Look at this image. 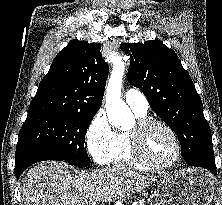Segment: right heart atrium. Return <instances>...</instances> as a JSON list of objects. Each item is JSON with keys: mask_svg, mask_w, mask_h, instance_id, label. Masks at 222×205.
<instances>
[{"mask_svg": "<svg viewBox=\"0 0 222 205\" xmlns=\"http://www.w3.org/2000/svg\"><path fill=\"white\" fill-rule=\"evenodd\" d=\"M116 133L112 129L106 115L98 112L86 130V144L94 161L106 164L114 147Z\"/></svg>", "mask_w": 222, "mask_h": 205, "instance_id": "obj_1", "label": "right heart atrium"}]
</instances>
